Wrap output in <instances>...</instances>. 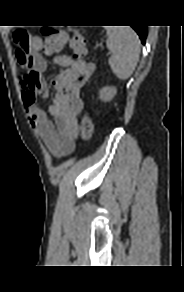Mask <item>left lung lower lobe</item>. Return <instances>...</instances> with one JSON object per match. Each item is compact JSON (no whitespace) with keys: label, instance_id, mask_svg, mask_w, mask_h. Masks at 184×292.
I'll return each mask as SVG.
<instances>
[{"label":"left lung lower lobe","instance_id":"1","mask_svg":"<svg viewBox=\"0 0 184 292\" xmlns=\"http://www.w3.org/2000/svg\"><path fill=\"white\" fill-rule=\"evenodd\" d=\"M133 27V29L137 32V34L139 35L141 42L144 44L145 40H146V35H147V31H146V26H131Z\"/></svg>","mask_w":184,"mask_h":292}]
</instances>
